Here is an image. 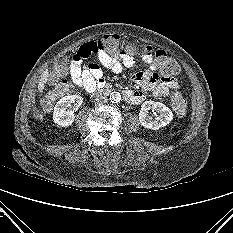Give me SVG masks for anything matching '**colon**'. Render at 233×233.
Masks as SVG:
<instances>
[{"label": "colon", "instance_id": "obj_1", "mask_svg": "<svg viewBox=\"0 0 233 233\" xmlns=\"http://www.w3.org/2000/svg\"><path fill=\"white\" fill-rule=\"evenodd\" d=\"M135 42L123 41L118 35L109 34L100 38L97 42L89 43L83 48V55L89 58L91 55L96 54L98 50H105L107 52H117L120 49H125L129 52L134 51ZM143 50L150 52L159 68V71L164 76H171L179 71L178 63L174 58L169 56L162 50H154L150 46L142 45ZM67 60L65 57H59L56 60L55 66L50 73V80L55 85L46 97V106H51L52 103L60 96L66 95L71 90L70 83L64 78L66 71ZM170 101L174 112L179 117H185L187 114L186 100L179 92H172L170 95Z\"/></svg>", "mask_w": 233, "mask_h": 233}]
</instances>
